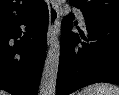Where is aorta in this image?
<instances>
[{
    "label": "aorta",
    "mask_w": 119,
    "mask_h": 95,
    "mask_svg": "<svg viewBox=\"0 0 119 95\" xmlns=\"http://www.w3.org/2000/svg\"><path fill=\"white\" fill-rule=\"evenodd\" d=\"M59 5L65 3V0H57ZM59 29L54 32V41L51 42L47 57L44 63L41 83L40 95H55L56 81L59 68L60 58V41L58 39Z\"/></svg>",
    "instance_id": "aorta-1"
}]
</instances>
